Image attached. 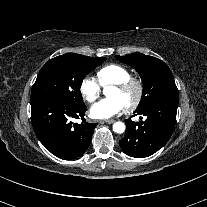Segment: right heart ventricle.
I'll return each mask as SVG.
<instances>
[{"mask_svg":"<svg viewBox=\"0 0 207 207\" xmlns=\"http://www.w3.org/2000/svg\"><path fill=\"white\" fill-rule=\"evenodd\" d=\"M97 81L101 86L116 84L130 77L127 68L119 64L103 66L96 72Z\"/></svg>","mask_w":207,"mask_h":207,"instance_id":"right-heart-ventricle-1","label":"right heart ventricle"}]
</instances>
